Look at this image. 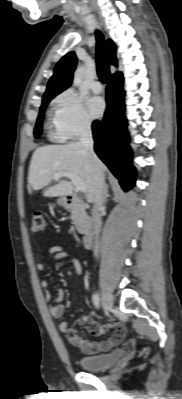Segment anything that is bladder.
<instances>
[{"mask_svg": "<svg viewBox=\"0 0 182 399\" xmlns=\"http://www.w3.org/2000/svg\"><path fill=\"white\" fill-rule=\"evenodd\" d=\"M123 355L124 350L115 349L107 354L80 357L78 364L87 372L102 371L119 361Z\"/></svg>", "mask_w": 182, "mask_h": 399, "instance_id": "31cf9c89", "label": "bladder"}]
</instances>
